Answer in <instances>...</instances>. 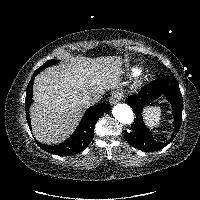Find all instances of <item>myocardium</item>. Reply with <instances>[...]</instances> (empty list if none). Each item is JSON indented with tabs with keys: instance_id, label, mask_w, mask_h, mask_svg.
Returning a JSON list of instances; mask_svg holds the SVG:
<instances>
[{
	"instance_id": "obj_1",
	"label": "myocardium",
	"mask_w": 200,
	"mask_h": 200,
	"mask_svg": "<svg viewBox=\"0 0 200 200\" xmlns=\"http://www.w3.org/2000/svg\"><path fill=\"white\" fill-rule=\"evenodd\" d=\"M142 84V80L141 79H137L134 83V87L137 88Z\"/></svg>"
}]
</instances>
